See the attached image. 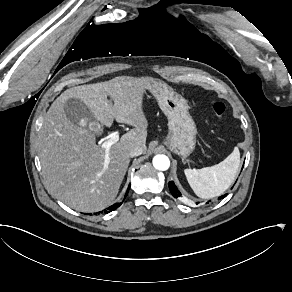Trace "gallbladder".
Instances as JSON below:
<instances>
[{"label":"gallbladder","mask_w":292,"mask_h":292,"mask_svg":"<svg viewBox=\"0 0 292 292\" xmlns=\"http://www.w3.org/2000/svg\"><path fill=\"white\" fill-rule=\"evenodd\" d=\"M64 111L73 124L84 128L96 121L92 112L80 99H68L64 104Z\"/></svg>","instance_id":"obj_1"}]
</instances>
